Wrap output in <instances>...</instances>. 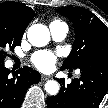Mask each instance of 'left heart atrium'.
I'll return each mask as SVG.
<instances>
[{
	"instance_id": "obj_1",
	"label": "left heart atrium",
	"mask_w": 108,
	"mask_h": 108,
	"mask_svg": "<svg viewBox=\"0 0 108 108\" xmlns=\"http://www.w3.org/2000/svg\"><path fill=\"white\" fill-rule=\"evenodd\" d=\"M31 60L37 69L47 72L53 69L56 62V56L51 52L39 51L32 56Z\"/></svg>"
}]
</instances>
